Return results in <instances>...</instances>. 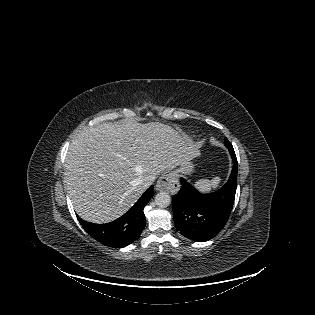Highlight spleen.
<instances>
[{"instance_id":"obj_1","label":"spleen","mask_w":315,"mask_h":315,"mask_svg":"<svg viewBox=\"0 0 315 315\" xmlns=\"http://www.w3.org/2000/svg\"><path fill=\"white\" fill-rule=\"evenodd\" d=\"M221 181L220 177H214L211 181L208 179H201L197 181L194 185L199 191L203 193L209 192L211 189H216Z\"/></svg>"}]
</instances>
